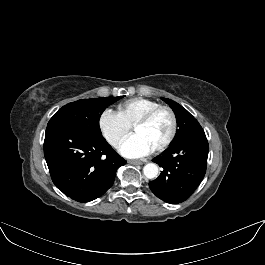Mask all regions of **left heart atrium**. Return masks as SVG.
<instances>
[{"instance_id": "obj_1", "label": "left heart atrium", "mask_w": 265, "mask_h": 265, "mask_svg": "<svg viewBox=\"0 0 265 265\" xmlns=\"http://www.w3.org/2000/svg\"><path fill=\"white\" fill-rule=\"evenodd\" d=\"M152 151L151 146L139 134L127 137L120 147L122 155L129 158H139L148 155Z\"/></svg>"}]
</instances>
